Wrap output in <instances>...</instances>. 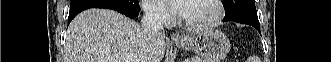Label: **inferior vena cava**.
<instances>
[{"label":"inferior vena cava","instance_id":"1","mask_svg":"<svg viewBox=\"0 0 331 62\" xmlns=\"http://www.w3.org/2000/svg\"><path fill=\"white\" fill-rule=\"evenodd\" d=\"M141 20L144 32L151 38L163 36L164 11L160 6L149 4L144 8Z\"/></svg>","mask_w":331,"mask_h":62}]
</instances>
